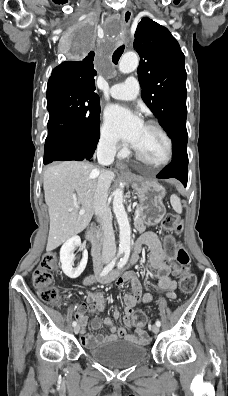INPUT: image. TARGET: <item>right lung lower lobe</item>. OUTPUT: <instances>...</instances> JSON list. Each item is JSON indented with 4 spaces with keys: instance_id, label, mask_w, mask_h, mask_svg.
<instances>
[{
    "instance_id": "98d812e1",
    "label": "right lung lower lobe",
    "mask_w": 228,
    "mask_h": 396,
    "mask_svg": "<svg viewBox=\"0 0 228 396\" xmlns=\"http://www.w3.org/2000/svg\"><path fill=\"white\" fill-rule=\"evenodd\" d=\"M65 160H84L91 162L94 160V152L90 155H84L64 136L53 135L48 137L44 147L43 163L48 164L53 161Z\"/></svg>"
}]
</instances>
